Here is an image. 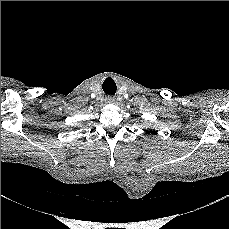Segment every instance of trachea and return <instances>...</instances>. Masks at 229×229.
Wrapping results in <instances>:
<instances>
[{
	"mask_svg": "<svg viewBox=\"0 0 229 229\" xmlns=\"http://www.w3.org/2000/svg\"><path fill=\"white\" fill-rule=\"evenodd\" d=\"M103 90L106 94L114 95L116 93V84L112 82L110 84H103Z\"/></svg>",
	"mask_w": 229,
	"mask_h": 229,
	"instance_id": "obj_1",
	"label": "trachea"
}]
</instances>
